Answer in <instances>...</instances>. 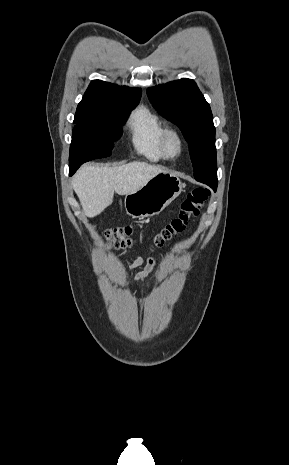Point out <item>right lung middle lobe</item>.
Instances as JSON below:
<instances>
[{
    "mask_svg": "<svg viewBox=\"0 0 289 465\" xmlns=\"http://www.w3.org/2000/svg\"><path fill=\"white\" fill-rule=\"evenodd\" d=\"M139 101L118 102L110 105L98 122H74L69 163H84L110 156L111 148L122 135L121 126Z\"/></svg>",
    "mask_w": 289,
    "mask_h": 465,
    "instance_id": "right-lung-middle-lobe-1",
    "label": "right lung middle lobe"
}]
</instances>
